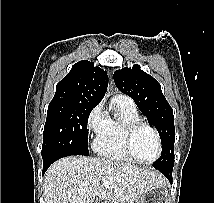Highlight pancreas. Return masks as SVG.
Instances as JSON below:
<instances>
[{
  "label": "pancreas",
  "mask_w": 214,
  "mask_h": 203,
  "mask_svg": "<svg viewBox=\"0 0 214 203\" xmlns=\"http://www.w3.org/2000/svg\"><path fill=\"white\" fill-rule=\"evenodd\" d=\"M111 203H122V202H120V201H112Z\"/></svg>",
  "instance_id": "1"
}]
</instances>
